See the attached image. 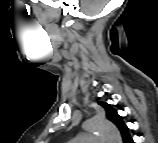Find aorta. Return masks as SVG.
Returning <instances> with one entry per match:
<instances>
[{
  "label": "aorta",
  "instance_id": "762f6f07",
  "mask_svg": "<svg viewBox=\"0 0 158 143\" xmlns=\"http://www.w3.org/2000/svg\"><path fill=\"white\" fill-rule=\"evenodd\" d=\"M83 128L87 132L101 134L107 143H122L117 127L105 118L93 117L84 123Z\"/></svg>",
  "mask_w": 158,
  "mask_h": 143
}]
</instances>
